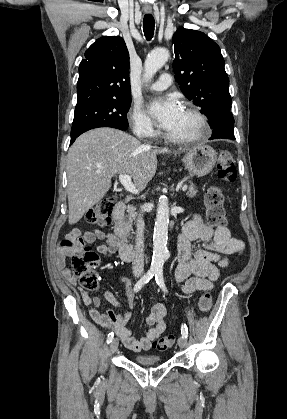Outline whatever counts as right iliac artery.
<instances>
[{"mask_svg":"<svg viewBox=\"0 0 287 419\" xmlns=\"http://www.w3.org/2000/svg\"><path fill=\"white\" fill-rule=\"evenodd\" d=\"M156 274V270H148V272L135 284L134 292H138L145 284H147L153 276ZM113 332L108 334L107 343L109 344L113 340Z\"/></svg>","mask_w":287,"mask_h":419,"instance_id":"82829eb1","label":"right iliac artery"}]
</instances>
